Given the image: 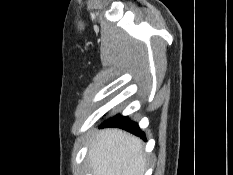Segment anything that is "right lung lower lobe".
I'll list each match as a JSON object with an SVG mask.
<instances>
[{"mask_svg": "<svg viewBox=\"0 0 233 175\" xmlns=\"http://www.w3.org/2000/svg\"><path fill=\"white\" fill-rule=\"evenodd\" d=\"M101 127H119L146 140L144 132H141L138 124L121 115H116L115 117L110 118L105 121Z\"/></svg>", "mask_w": 233, "mask_h": 175, "instance_id": "right-lung-lower-lobe-1", "label": "right lung lower lobe"}]
</instances>
